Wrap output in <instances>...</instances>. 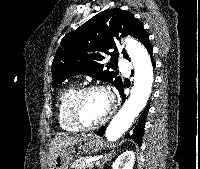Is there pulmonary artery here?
Wrapping results in <instances>:
<instances>
[{
	"mask_svg": "<svg viewBox=\"0 0 200 169\" xmlns=\"http://www.w3.org/2000/svg\"><path fill=\"white\" fill-rule=\"evenodd\" d=\"M118 64H119V66L121 67V68H125L124 66H125V64H126V60L125 59H123V58H120L119 60H118Z\"/></svg>",
	"mask_w": 200,
	"mask_h": 169,
	"instance_id": "pulmonary-artery-1",
	"label": "pulmonary artery"
}]
</instances>
